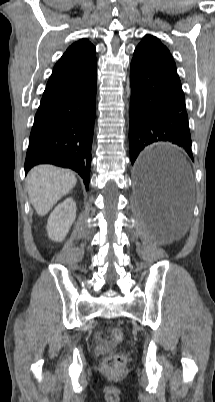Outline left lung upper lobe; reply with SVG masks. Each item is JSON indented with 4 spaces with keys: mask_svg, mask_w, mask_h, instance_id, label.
<instances>
[{
    "mask_svg": "<svg viewBox=\"0 0 215 402\" xmlns=\"http://www.w3.org/2000/svg\"><path fill=\"white\" fill-rule=\"evenodd\" d=\"M133 59L179 78L172 55L166 46L155 36L145 35L142 38L134 51Z\"/></svg>",
    "mask_w": 215,
    "mask_h": 402,
    "instance_id": "1",
    "label": "left lung upper lobe"
}]
</instances>
